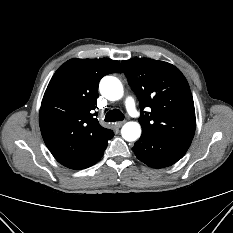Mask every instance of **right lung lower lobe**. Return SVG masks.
<instances>
[{"mask_svg":"<svg viewBox=\"0 0 233 233\" xmlns=\"http://www.w3.org/2000/svg\"><path fill=\"white\" fill-rule=\"evenodd\" d=\"M113 136H114V134L112 135V137H113ZM112 137H111V138H112ZM111 138H110V139H111ZM110 139H109V140H110ZM107 143H108V140H107ZM107 143H106V145H105L104 150H105V149H106V147H107ZM104 150H103L102 154L100 155V157H99L98 161H99V160H100V158L102 157V155H103V153H104Z\"/></svg>","mask_w":233,"mask_h":233,"instance_id":"obj_1","label":"right lung lower lobe"}]
</instances>
